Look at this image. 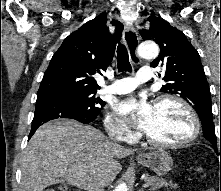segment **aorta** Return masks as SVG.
<instances>
[{
  "instance_id": "1",
  "label": "aorta",
  "mask_w": 221,
  "mask_h": 191,
  "mask_svg": "<svg viewBox=\"0 0 221 191\" xmlns=\"http://www.w3.org/2000/svg\"><path fill=\"white\" fill-rule=\"evenodd\" d=\"M159 53V48L155 42L147 41L143 42L138 47V54L141 58L151 59L155 58ZM114 191H127L125 183L119 184Z\"/></svg>"
}]
</instances>
